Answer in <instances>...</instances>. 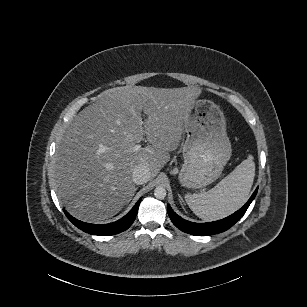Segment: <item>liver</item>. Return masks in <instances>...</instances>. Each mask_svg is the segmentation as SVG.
Listing matches in <instances>:
<instances>
[{"mask_svg": "<svg viewBox=\"0 0 307 307\" xmlns=\"http://www.w3.org/2000/svg\"><path fill=\"white\" fill-rule=\"evenodd\" d=\"M200 93L195 86L141 85L102 92L68 125L57 147L52 174L60 203L88 223L117 214L134 192L133 169L146 164L153 178L169 161L168 151L178 147L184 120ZM144 136L151 145L133 152Z\"/></svg>", "mask_w": 307, "mask_h": 307, "instance_id": "liver-1", "label": "liver"}]
</instances>
